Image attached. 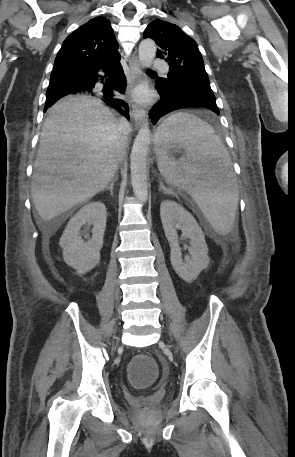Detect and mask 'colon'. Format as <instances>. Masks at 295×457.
Returning <instances> with one entry per match:
<instances>
[{"mask_svg": "<svg viewBox=\"0 0 295 457\" xmlns=\"http://www.w3.org/2000/svg\"><path fill=\"white\" fill-rule=\"evenodd\" d=\"M157 368L148 351H139L138 357H131L127 368V377H132L131 390H150V383H156Z\"/></svg>", "mask_w": 295, "mask_h": 457, "instance_id": "1", "label": "colon"}]
</instances>
